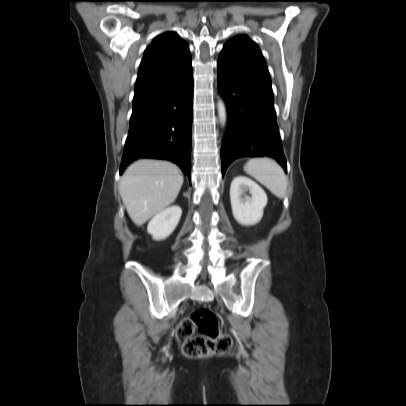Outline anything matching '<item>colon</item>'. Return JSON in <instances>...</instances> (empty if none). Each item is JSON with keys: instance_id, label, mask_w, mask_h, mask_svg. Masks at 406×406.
Segmentation results:
<instances>
[{"instance_id": "1", "label": "colon", "mask_w": 406, "mask_h": 406, "mask_svg": "<svg viewBox=\"0 0 406 406\" xmlns=\"http://www.w3.org/2000/svg\"><path fill=\"white\" fill-rule=\"evenodd\" d=\"M195 330L199 334L194 335ZM176 337L183 343V353L188 358H202L228 352L232 339L222 333L216 315L209 309H200L181 320Z\"/></svg>"}]
</instances>
